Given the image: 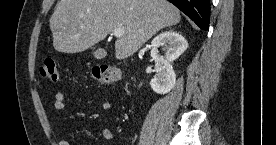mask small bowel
<instances>
[{
    "mask_svg": "<svg viewBox=\"0 0 276 145\" xmlns=\"http://www.w3.org/2000/svg\"><path fill=\"white\" fill-rule=\"evenodd\" d=\"M65 106H66V100H65L64 94L61 92L56 93L54 96V109L56 111H62V110H64ZM110 106H111L110 102L107 100H103L101 102V107L104 110L109 109ZM100 135L104 140H115V138H116L113 131H111L110 129H107V128L102 129L100 132ZM59 145H70V143L68 140L62 139V140H60Z\"/></svg>",
    "mask_w": 276,
    "mask_h": 145,
    "instance_id": "obj_1",
    "label": "small bowel"
}]
</instances>
